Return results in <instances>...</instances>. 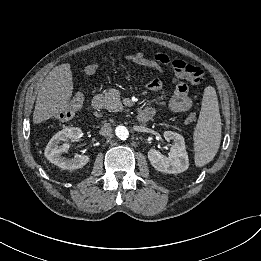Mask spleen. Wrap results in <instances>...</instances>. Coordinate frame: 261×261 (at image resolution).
<instances>
[{
  "label": "spleen",
  "mask_w": 261,
  "mask_h": 261,
  "mask_svg": "<svg viewBox=\"0 0 261 261\" xmlns=\"http://www.w3.org/2000/svg\"><path fill=\"white\" fill-rule=\"evenodd\" d=\"M221 117L216 91L205 88L202 108L194 131L195 165L202 167L215 157L221 141Z\"/></svg>",
  "instance_id": "1"
}]
</instances>
